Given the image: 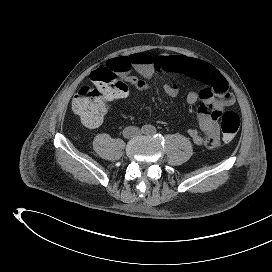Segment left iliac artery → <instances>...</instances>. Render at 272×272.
<instances>
[{"label":"left iliac artery","instance_id":"obj_1","mask_svg":"<svg viewBox=\"0 0 272 272\" xmlns=\"http://www.w3.org/2000/svg\"><path fill=\"white\" fill-rule=\"evenodd\" d=\"M150 133H151V134H155V133H156V129H155L154 127H152V128L150 129Z\"/></svg>","mask_w":272,"mask_h":272}]
</instances>
